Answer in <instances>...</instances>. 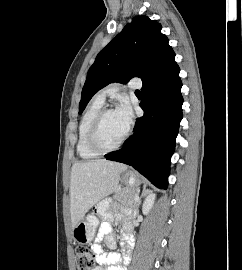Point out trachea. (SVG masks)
Instances as JSON below:
<instances>
[{"instance_id":"1","label":"trachea","mask_w":242,"mask_h":270,"mask_svg":"<svg viewBox=\"0 0 242 270\" xmlns=\"http://www.w3.org/2000/svg\"><path fill=\"white\" fill-rule=\"evenodd\" d=\"M135 93H140V91L139 90H136Z\"/></svg>"}]
</instances>
